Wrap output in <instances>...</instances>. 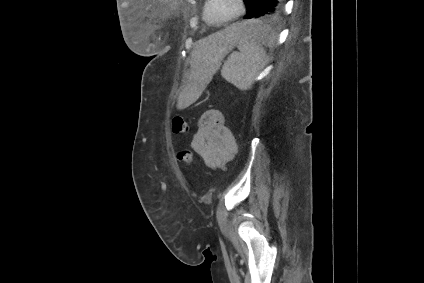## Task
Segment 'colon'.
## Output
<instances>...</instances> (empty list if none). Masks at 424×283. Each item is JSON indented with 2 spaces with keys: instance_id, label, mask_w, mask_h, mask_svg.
<instances>
[{
  "instance_id": "colon-1",
  "label": "colon",
  "mask_w": 424,
  "mask_h": 283,
  "mask_svg": "<svg viewBox=\"0 0 424 283\" xmlns=\"http://www.w3.org/2000/svg\"><path fill=\"white\" fill-rule=\"evenodd\" d=\"M188 129V123L183 117L175 116L172 119V131L175 134H184L188 131ZM178 159L181 160L187 166L192 163V155L189 151L179 152Z\"/></svg>"
}]
</instances>
